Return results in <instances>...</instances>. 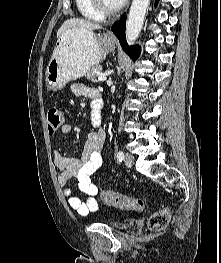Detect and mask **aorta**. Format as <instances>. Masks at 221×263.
<instances>
[{"instance_id":"762f6f07","label":"aorta","mask_w":221,"mask_h":263,"mask_svg":"<svg viewBox=\"0 0 221 263\" xmlns=\"http://www.w3.org/2000/svg\"><path fill=\"white\" fill-rule=\"evenodd\" d=\"M150 0H133L126 24V39L129 45L138 38L143 27Z\"/></svg>"}]
</instances>
